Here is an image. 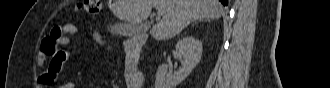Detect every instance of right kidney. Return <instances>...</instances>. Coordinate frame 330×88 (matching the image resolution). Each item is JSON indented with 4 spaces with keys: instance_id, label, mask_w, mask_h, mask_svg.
Here are the masks:
<instances>
[{
    "instance_id": "obj_1",
    "label": "right kidney",
    "mask_w": 330,
    "mask_h": 88,
    "mask_svg": "<svg viewBox=\"0 0 330 88\" xmlns=\"http://www.w3.org/2000/svg\"><path fill=\"white\" fill-rule=\"evenodd\" d=\"M176 51L183 57L181 69L173 74L167 64H162L156 74L155 88H175L192 72L202 56V42L192 36L181 39Z\"/></svg>"
}]
</instances>
